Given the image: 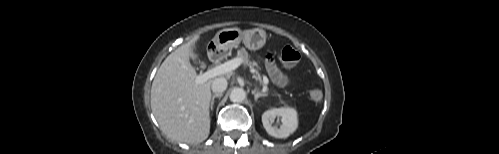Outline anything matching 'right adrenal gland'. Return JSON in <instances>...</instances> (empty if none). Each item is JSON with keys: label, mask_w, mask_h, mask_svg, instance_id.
Masks as SVG:
<instances>
[{"label": "right adrenal gland", "mask_w": 499, "mask_h": 154, "mask_svg": "<svg viewBox=\"0 0 499 154\" xmlns=\"http://www.w3.org/2000/svg\"><path fill=\"white\" fill-rule=\"evenodd\" d=\"M221 96H222V94H221V93H219V94H214V95L212 96V98H211V102H210V110H211V111L213 110V105H214V100H215V98H217V97H221Z\"/></svg>", "instance_id": "2a0ac1e0"}]
</instances>
